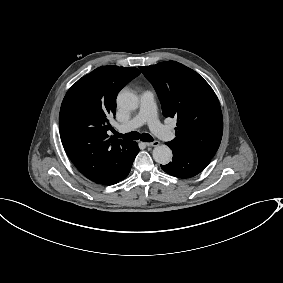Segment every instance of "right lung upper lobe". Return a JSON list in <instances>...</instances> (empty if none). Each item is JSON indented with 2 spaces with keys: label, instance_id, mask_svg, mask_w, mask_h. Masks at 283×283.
I'll list each match as a JSON object with an SVG mask.
<instances>
[{
  "label": "right lung upper lobe",
  "instance_id": "right-lung-upper-lobe-1",
  "mask_svg": "<svg viewBox=\"0 0 283 283\" xmlns=\"http://www.w3.org/2000/svg\"><path fill=\"white\" fill-rule=\"evenodd\" d=\"M140 72L101 66L79 79L65 95L59 114L63 147L77 169L95 183L120 173L135 156L136 142L108 136L119 91Z\"/></svg>",
  "mask_w": 283,
  "mask_h": 283
}]
</instances>
